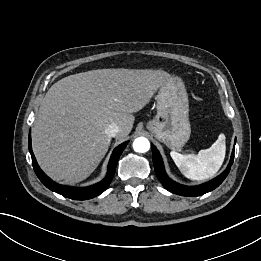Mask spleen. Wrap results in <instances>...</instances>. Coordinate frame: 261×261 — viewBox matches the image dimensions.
<instances>
[{"label": "spleen", "mask_w": 261, "mask_h": 261, "mask_svg": "<svg viewBox=\"0 0 261 261\" xmlns=\"http://www.w3.org/2000/svg\"><path fill=\"white\" fill-rule=\"evenodd\" d=\"M226 152L225 135L220 134L208 149L198 154L183 155L171 151L170 155L181 173L192 180H206L213 177L223 164Z\"/></svg>", "instance_id": "spleen-1"}]
</instances>
